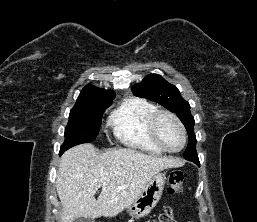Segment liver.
<instances>
[{
  "instance_id": "liver-1",
  "label": "liver",
  "mask_w": 257,
  "mask_h": 222,
  "mask_svg": "<svg viewBox=\"0 0 257 222\" xmlns=\"http://www.w3.org/2000/svg\"><path fill=\"white\" fill-rule=\"evenodd\" d=\"M179 159L144 154L134 149L99 154L92 144L66 151L57 171L56 190L62 222L79 217H113L131 205L159 171L183 165ZM102 191L95 199V193Z\"/></svg>"
}]
</instances>
